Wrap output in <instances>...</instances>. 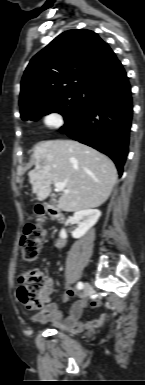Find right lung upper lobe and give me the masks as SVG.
Listing matches in <instances>:
<instances>
[{"instance_id":"cb5924a9","label":"right lung upper lobe","mask_w":145,"mask_h":385,"mask_svg":"<svg viewBox=\"0 0 145 385\" xmlns=\"http://www.w3.org/2000/svg\"><path fill=\"white\" fill-rule=\"evenodd\" d=\"M123 72L114 52L96 33L84 29L66 31L27 66L21 82V116L69 91H92Z\"/></svg>"}]
</instances>
